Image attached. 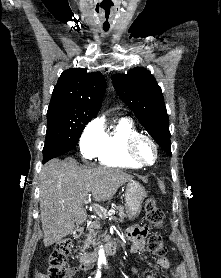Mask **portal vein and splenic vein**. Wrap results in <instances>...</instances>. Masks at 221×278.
Returning <instances> with one entry per match:
<instances>
[{"instance_id":"portal-vein-and-splenic-vein-1","label":"portal vein and splenic vein","mask_w":221,"mask_h":278,"mask_svg":"<svg viewBox=\"0 0 221 278\" xmlns=\"http://www.w3.org/2000/svg\"><path fill=\"white\" fill-rule=\"evenodd\" d=\"M89 202L88 199L85 200V204H87ZM95 211L99 216L105 215V216H111L113 214H115V210L114 209H110L109 211H107L106 209H103L102 207H99L98 205H95Z\"/></svg>"}]
</instances>
